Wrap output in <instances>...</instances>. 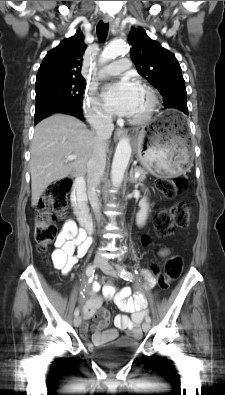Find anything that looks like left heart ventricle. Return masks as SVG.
<instances>
[{
	"label": "left heart ventricle",
	"mask_w": 225,
	"mask_h": 395,
	"mask_svg": "<svg viewBox=\"0 0 225 395\" xmlns=\"http://www.w3.org/2000/svg\"><path fill=\"white\" fill-rule=\"evenodd\" d=\"M148 103H149V100H148L146 93L142 89H140L138 102L135 107L134 113L132 114L131 117L135 118V117L141 116L146 111V109L148 107Z\"/></svg>",
	"instance_id": "b2bd125f"
}]
</instances>
